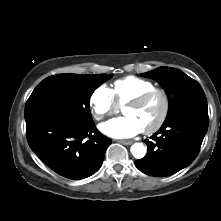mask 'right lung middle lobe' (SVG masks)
<instances>
[{"instance_id": "obj_1", "label": "right lung middle lobe", "mask_w": 221, "mask_h": 221, "mask_svg": "<svg viewBox=\"0 0 221 221\" xmlns=\"http://www.w3.org/2000/svg\"><path fill=\"white\" fill-rule=\"evenodd\" d=\"M112 75L59 74L44 79L25 105V119L44 111L69 117L80 124H91L90 97Z\"/></svg>"}]
</instances>
